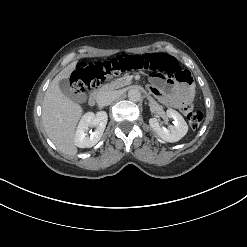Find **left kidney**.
<instances>
[{
    "mask_svg": "<svg viewBox=\"0 0 247 247\" xmlns=\"http://www.w3.org/2000/svg\"><path fill=\"white\" fill-rule=\"evenodd\" d=\"M167 117L174 119V126L171 125L169 128H165L159 124L157 118L149 119L150 127L158 134V136L166 142H177L183 138L187 131L188 125L184 118L173 109L166 111Z\"/></svg>",
    "mask_w": 247,
    "mask_h": 247,
    "instance_id": "left-kidney-1",
    "label": "left kidney"
}]
</instances>
